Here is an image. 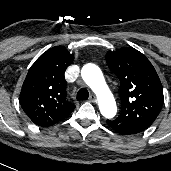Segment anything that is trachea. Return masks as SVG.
Returning <instances> with one entry per match:
<instances>
[{
  "label": "trachea",
  "mask_w": 171,
  "mask_h": 171,
  "mask_svg": "<svg viewBox=\"0 0 171 171\" xmlns=\"http://www.w3.org/2000/svg\"><path fill=\"white\" fill-rule=\"evenodd\" d=\"M89 93L86 89L82 88L77 93V100L88 99Z\"/></svg>",
  "instance_id": "trachea-1"
}]
</instances>
